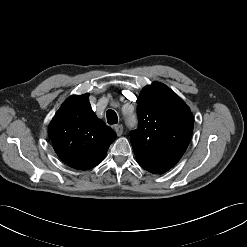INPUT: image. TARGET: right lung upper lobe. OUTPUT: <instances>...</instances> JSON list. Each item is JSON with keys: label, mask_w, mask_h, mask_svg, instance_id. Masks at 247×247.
Returning <instances> with one entry per match:
<instances>
[{"label": "right lung upper lobe", "mask_w": 247, "mask_h": 247, "mask_svg": "<svg viewBox=\"0 0 247 247\" xmlns=\"http://www.w3.org/2000/svg\"><path fill=\"white\" fill-rule=\"evenodd\" d=\"M88 97V94L69 97L48 129L60 159L79 170H88L101 163L116 139V133L93 112Z\"/></svg>", "instance_id": "1"}]
</instances>
